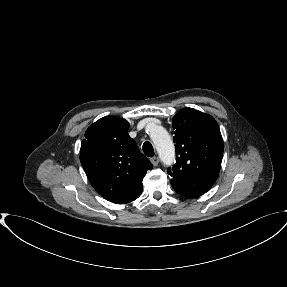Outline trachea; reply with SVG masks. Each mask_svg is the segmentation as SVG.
<instances>
[{
    "instance_id": "3493384b",
    "label": "trachea",
    "mask_w": 287,
    "mask_h": 287,
    "mask_svg": "<svg viewBox=\"0 0 287 287\" xmlns=\"http://www.w3.org/2000/svg\"><path fill=\"white\" fill-rule=\"evenodd\" d=\"M143 152L148 157L154 156V149H153V146L150 142H145L143 144Z\"/></svg>"
}]
</instances>
